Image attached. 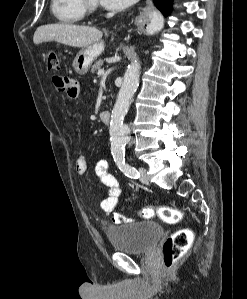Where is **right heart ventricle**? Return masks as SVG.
Segmentation results:
<instances>
[{
    "label": "right heart ventricle",
    "instance_id": "right-heart-ventricle-1",
    "mask_svg": "<svg viewBox=\"0 0 247 299\" xmlns=\"http://www.w3.org/2000/svg\"><path fill=\"white\" fill-rule=\"evenodd\" d=\"M51 13L62 24H75L83 20L86 9L82 0H51Z\"/></svg>",
    "mask_w": 247,
    "mask_h": 299
}]
</instances>
